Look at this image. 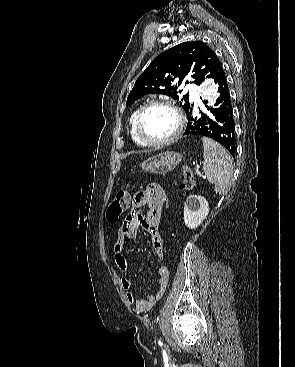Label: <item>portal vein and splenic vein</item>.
<instances>
[{"mask_svg":"<svg viewBox=\"0 0 295 367\" xmlns=\"http://www.w3.org/2000/svg\"><path fill=\"white\" fill-rule=\"evenodd\" d=\"M195 172H196L197 176L204 177V175L199 171L198 168H195Z\"/></svg>","mask_w":295,"mask_h":367,"instance_id":"obj_1","label":"portal vein and splenic vein"}]
</instances>
